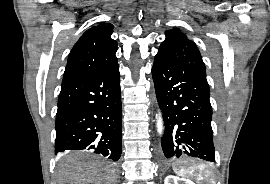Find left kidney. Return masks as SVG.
Listing matches in <instances>:
<instances>
[{"mask_svg": "<svg viewBox=\"0 0 270 184\" xmlns=\"http://www.w3.org/2000/svg\"><path fill=\"white\" fill-rule=\"evenodd\" d=\"M164 184H195V183L189 179L168 175L164 180Z\"/></svg>", "mask_w": 270, "mask_h": 184, "instance_id": "5707ae66", "label": "left kidney"}]
</instances>
